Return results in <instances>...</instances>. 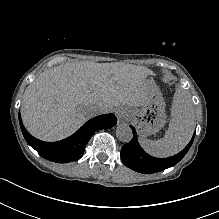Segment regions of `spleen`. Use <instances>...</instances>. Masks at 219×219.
<instances>
[{
	"label": "spleen",
	"instance_id": "obj_1",
	"mask_svg": "<svg viewBox=\"0 0 219 219\" xmlns=\"http://www.w3.org/2000/svg\"><path fill=\"white\" fill-rule=\"evenodd\" d=\"M171 116L169 128L163 138L141 141L147 153L155 157L173 156L189 143L195 129V113L187 90L179 88L174 93Z\"/></svg>",
	"mask_w": 219,
	"mask_h": 219
}]
</instances>
